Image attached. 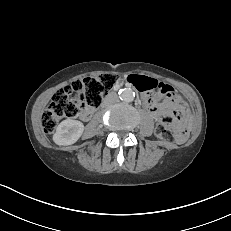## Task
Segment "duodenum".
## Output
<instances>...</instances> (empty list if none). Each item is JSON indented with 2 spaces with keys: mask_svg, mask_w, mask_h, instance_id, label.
<instances>
[{
  "mask_svg": "<svg viewBox=\"0 0 231 231\" xmlns=\"http://www.w3.org/2000/svg\"><path fill=\"white\" fill-rule=\"evenodd\" d=\"M142 100H143L144 104L146 105V107L149 108L150 106H149L148 99L145 98V97L142 95ZM84 113H86V116H85L84 118H85V119H88V118L90 117L89 112H84ZM84 113H83V114H84Z\"/></svg>",
  "mask_w": 231,
  "mask_h": 231,
  "instance_id": "410a0bca",
  "label": "duodenum"
}]
</instances>
